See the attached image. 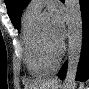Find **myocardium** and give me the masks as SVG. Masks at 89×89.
<instances>
[{"label": "myocardium", "mask_w": 89, "mask_h": 89, "mask_svg": "<svg viewBox=\"0 0 89 89\" xmlns=\"http://www.w3.org/2000/svg\"><path fill=\"white\" fill-rule=\"evenodd\" d=\"M37 39L39 49L43 54L44 58L49 62L57 64L64 53L65 50L64 44L62 43L57 47L56 50H52L44 40L40 26H38Z\"/></svg>", "instance_id": "f54148a6"}]
</instances>
